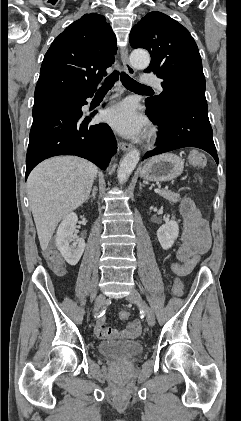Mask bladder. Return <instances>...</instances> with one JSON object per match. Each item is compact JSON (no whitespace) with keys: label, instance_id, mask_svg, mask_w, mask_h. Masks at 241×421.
<instances>
[{"label":"bladder","instance_id":"obj_1","mask_svg":"<svg viewBox=\"0 0 241 421\" xmlns=\"http://www.w3.org/2000/svg\"><path fill=\"white\" fill-rule=\"evenodd\" d=\"M99 353L111 360L125 362L138 357L143 346L138 341H108L98 345Z\"/></svg>","mask_w":241,"mask_h":421}]
</instances>
